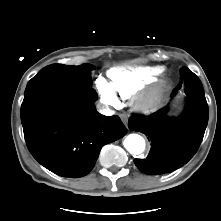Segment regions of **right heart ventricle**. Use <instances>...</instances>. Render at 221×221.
Instances as JSON below:
<instances>
[{
    "mask_svg": "<svg viewBox=\"0 0 221 221\" xmlns=\"http://www.w3.org/2000/svg\"><path fill=\"white\" fill-rule=\"evenodd\" d=\"M163 71V67L114 68L108 72L109 85L120 98L129 99L154 82Z\"/></svg>",
    "mask_w": 221,
    "mask_h": 221,
    "instance_id": "right-heart-ventricle-1",
    "label": "right heart ventricle"
}]
</instances>
